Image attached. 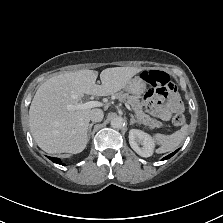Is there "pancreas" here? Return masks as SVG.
<instances>
[{
	"mask_svg": "<svg viewBox=\"0 0 223 223\" xmlns=\"http://www.w3.org/2000/svg\"><path fill=\"white\" fill-rule=\"evenodd\" d=\"M115 98L118 99L120 102H126L132 106L133 110L135 111L137 117L143 121L146 125L154 128V127H161L162 123L156 119L151 118L149 115L145 114L142 111V104L141 102L136 99L133 95H127L126 93L117 92L114 94Z\"/></svg>",
	"mask_w": 223,
	"mask_h": 223,
	"instance_id": "pancreas-1",
	"label": "pancreas"
}]
</instances>
